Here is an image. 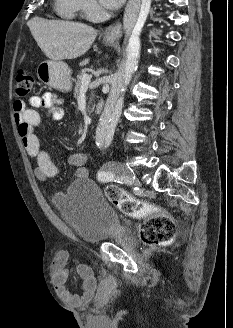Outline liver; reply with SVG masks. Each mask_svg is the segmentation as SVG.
<instances>
[{
    "mask_svg": "<svg viewBox=\"0 0 233 328\" xmlns=\"http://www.w3.org/2000/svg\"><path fill=\"white\" fill-rule=\"evenodd\" d=\"M31 33L42 52L53 61L74 59L86 53L97 37V31L86 24L63 20L35 18ZM85 59L80 65H86Z\"/></svg>",
    "mask_w": 233,
    "mask_h": 328,
    "instance_id": "1",
    "label": "liver"
}]
</instances>
